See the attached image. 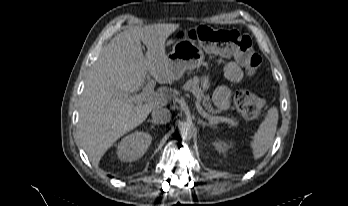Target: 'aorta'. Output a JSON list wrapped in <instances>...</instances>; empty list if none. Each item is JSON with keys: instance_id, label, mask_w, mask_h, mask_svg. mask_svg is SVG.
I'll return each mask as SVG.
<instances>
[{"instance_id": "aorta-1", "label": "aorta", "mask_w": 348, "mask_h": 206, "mask_svg": "<svg viewBox=\"0 0 348 206\" xmlns=\"http://www.w3.org/2000/svg\"><path fill=\"white\" fill-rule=\"evenodd\" d=\"M179 134L182 139L188 140L194 136V126L190 122H181L179 124Z\"/></svg>"}]
</instances>
